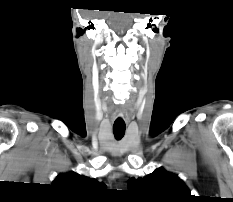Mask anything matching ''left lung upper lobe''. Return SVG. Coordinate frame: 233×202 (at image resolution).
<instances>
[{
    "instance_id": "1",
    "label": "left lung upper lobe",
    "mask_w": 233,
    "mask_h": 202,
    "mask_svg": "<svg viewBox=\"0 0 233 202\" xmlns=\"http://www.w3.org/2000/svg\"><path fill=\"white\" fill-rule=\"evenodd\" d=\"M128 189L147 202H187L192 197L184 182L163 168L145 178L129 179Z\"/></svg>"
}]
</instances>
